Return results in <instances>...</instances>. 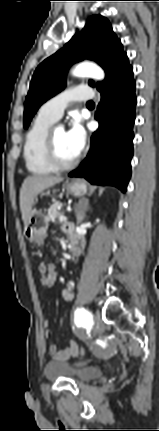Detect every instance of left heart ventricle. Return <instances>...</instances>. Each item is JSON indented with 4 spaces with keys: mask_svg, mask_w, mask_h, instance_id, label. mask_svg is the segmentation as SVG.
Returning <instances> with one entry per match:
<instances>
[{
    "mask_svg": "<svg viewBox=\"0 0 159 431\" xmlns=\"http://www.w3.org/2000/svg\"><path fill=\"white\" fill-rule=\"evenodd\" d=\"M65 133L63 130L54 131L55 146L59 159L63 162H70L76 158V155L69 148Z\"/></svg>",
    "mask_w": 159,
    "mask_h": 431,
    "instance_id": "1",
    "label": "left heart ventricle"
}]
</instances>
